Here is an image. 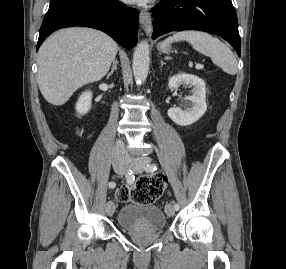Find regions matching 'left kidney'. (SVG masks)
<instances>
[{
    "label": "left kidney",
    "mask_w": 286,
    "mask_h": 269,
    "mask_svg": "<svg viewBox=\"0 0 286 269\" xmlns=\"http://www.w3.org/2000/svg\"><path fill=\"white\" fill-rule=\"evenodd\" d=\"M180 85L193 86L192 94L186 97L191 102V107L181 109L172 107L168 110V116L180 126H187L199 120L207 110L205 82L198 76L191 74H177L169 79V89H177Z\"/></svg>",
    "instance_id": "1"
}]
</instances>
